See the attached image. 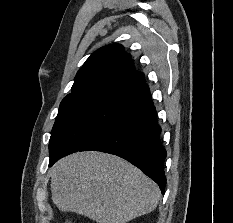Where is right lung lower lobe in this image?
Returning <instances> with one entry per match:
<instances>
[{"mask_svg": "<svg viewBox=\"0 0 233 223\" xmlns=\"http://www.w3.org/2000/svg\"><path fill=\"white\" fill-rule=\"evenodd\" d=\"M123 100L122 112L78 151L94 150L120 156L140 168L164 193L167 153L160 142L161 129L147 84L125 90ZM66 155L50 153L49 165Z\"/></svg>", "mask_w": 233, "mask_h": 223, "instance_id": "obj_1", "label": "right lung lower lobe"}]
</instances>
